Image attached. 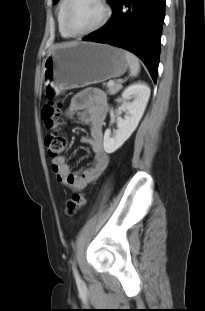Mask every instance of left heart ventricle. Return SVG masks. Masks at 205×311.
<instances>
[{
	"instance_id": "left-heart-ventricle-1",
	"label": "left heart ventricle",
	"mask_w": 205,
	"mask_h": 311,
	"mask_svg": "<svg viewBox=\"0 0 205 311\" xmlns=\"http://www.w3.org/2000/svg\"><path fill=\"white\" fill-rule=\"evenodd\" d=\"M104 11L97 0H74L69 22L73 30L85 31L94 27L103 17Z\"/></svg>"
}]
</instances>
